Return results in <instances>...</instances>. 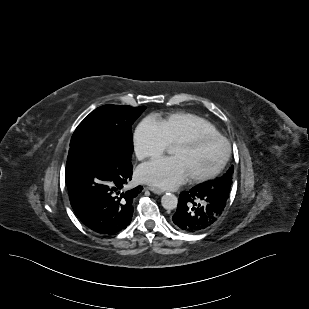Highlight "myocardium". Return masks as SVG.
<instances>
[{
    "instance_id": "myocardium-1",
    "label": "myocardium",
    "mask_w": 309,
    "mask_h": 309,
    "mask_svg": "<svg viewBox=\"0 0 309 309\" xmlns=\"http://www.w3.org/2000/svg\"><path fill=\"white\" fill-rule=\"evenodd\" d=\"M206 140H217L220 141L223 144L224 147V152L223 156L219 162V164L209 173L204 174V175H199V176H192L189 177V181L192 183H202L209 181L216 176H218L222 170L225 168L226 164L228 163V160L231 155V146L229 141L227 140L226 137L219 133H210V132H204V131H199V132H194L178 141H176L173 144L174 146H195L198 145Z\"/></svg>"
}]
</instances>
